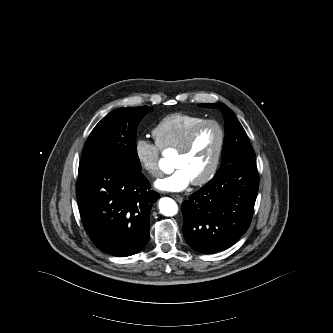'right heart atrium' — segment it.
<instances>
[{
	"label": "right heart atrium",
	"mask_w": 333,
	"mask_h": 333,
	"mask_svg": "<svg viewBox=\"0 0 333 333\" xmlns=\"http://www.w3.org/2000/svg\"><path fill=\"white\" fill-rule=\"evenodd\" d=\"M134 153L137 162L146 173L152 177L160 176V148L156 142L139 138L135 141Z\"/></svg>",
	"instance_id": "right-heart-atrium-1"
}]
</instances>
